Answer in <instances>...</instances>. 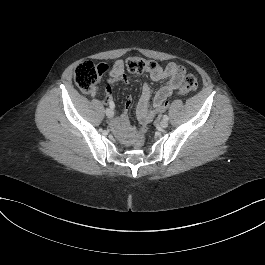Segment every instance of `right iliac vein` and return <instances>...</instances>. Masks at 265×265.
Returning <instances> with one entry per match:
<instances>
[{
  "label": "right iliac vein",
  "instance_id": "right-iliac-vein-1",
  "mask_svg": "<svg viewBox=\"0 0 265 265\" xmlns=\"http://www.w3.org/2000/svg\"><path fill=\"white\" fill-rule=\"evenodd\" d=\"M106 116L108 118H112L114 116V113H113L112 109H110V108L106 109Z\"/></svg>",
  "mask_w": 265,
  "mask_h": 265
}]
</instances>
